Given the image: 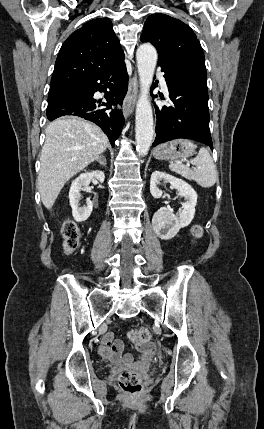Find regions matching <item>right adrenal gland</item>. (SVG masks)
<instances>
[{"label":"right adrenal gland","instance_id":"right-adrenal-gland-1","mask_svg":"<svg viewBox=\"0 0 264 429\" xmlns=\"http://www.w3.org/2000/svg\"><path fill=\"white\" fill-rule=\"evenodd\" d=\"M96 161H97L100 165H103V166H106V164H107V162H106V158H105L103 155H101L99 158H97V159H96Z\"/></svg>","mask_w":264,"mask_h":429}]
</instances>
